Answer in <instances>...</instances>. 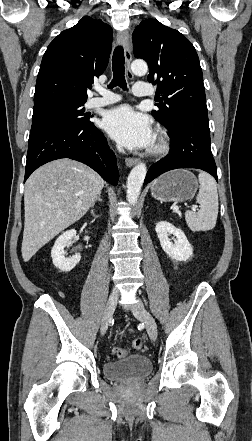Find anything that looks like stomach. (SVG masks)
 I'll use <instances>...</instances> for the list:
<instances>
[{
  "label": "stomach",
  "instance_id": "stomach-1",
  "mask_svg": "<svg viewBox=\"0 0 252 441\" xmlns=\"http://www.w3.org/2000/svg\"><path fill=\"white\" fill-rule=\"evenodd\" d=\"M197 189L196 177L187 170L177 169L157 178L151 185V195L160 201L182 202L191 199Z\"/></svg>",
  "mask_w": 252,
  "mask_h": 441
}]
</instances>
